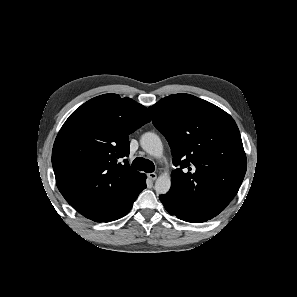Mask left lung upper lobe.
<instances>
[{
  "mask_svg": "<svg viewBox=\"0 0 297 297\" xmlns=\"http://www.w3.org/2000/svg\"><path fill=\"white\" fill-rule=\"evenodd\" d=\"M177 169L168 193L206 218L217 216L237 194L247 162L239 129L221 108L193 95H170L149 107Z\"/></svg>",
  "mask_w": 297,
  "mask_h": 297,
  "instance_id": "obj_1",
  "label": "left lung upper lobe"
}]
</instances>
